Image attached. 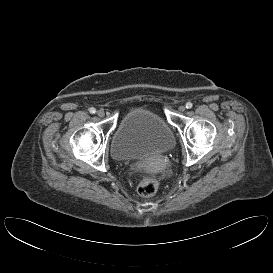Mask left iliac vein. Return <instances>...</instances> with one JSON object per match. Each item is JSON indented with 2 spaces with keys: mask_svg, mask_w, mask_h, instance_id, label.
<instances>
[{
  "mask_svg": "<svg viewBox=\"0 0 273 273\" xmlns=\"http://www.w3.org/2000/svg\"><path fill=\"white\" fill-rule=\"evenodd\" d=\"M185 106H183V105H181V106H179V108H178V110L180 111V112H184L185 111Z\"/></svg>",
  "mask_w": 273,
  "mask_h": 273,
  "instance_id": "4c4485c4",
  "label": "left iliac vein"
}]
</instances>
